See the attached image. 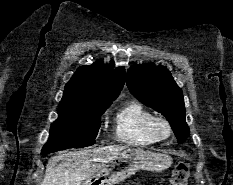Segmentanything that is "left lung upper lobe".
Instances as JSON below:
<instances>
[{
  "label": "left lung upper lobe",
  "mask_w": 233,
  "mask_h": 185,
  "mask_svg": "<svg viewBox=\"0 0 233 185\" xmlns=\"http://www.w3.org/2000/svg\"><path fill=\"white\" fill-rule=\"evenodd\" d=\"M126 82L130 92L140 102L167 118L178 143H183L190 130L185 121L182 90L171 73L163 66L143 64L128 70Z\"/></svg>",
  "instance_id": "obj_1"
}]
</instances>
